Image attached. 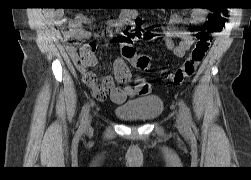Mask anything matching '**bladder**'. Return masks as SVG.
<instances>
[{
	"label": "bladder",
	"mask_w": 251,
	"mask_h": 180,
	"mask_svg": "<svg viewBox=\"0 0 251 180\" xmlns=\"http://www.w3.org/2000/svg\"><path fill=\"white\" fill-rule=\"evenodd\" d=\"M164 109L161 97L151 95L115 107V115L126 122L144 123L156 119Z\"/></svg>",
	"instance_id": "31cf9c89"
}]
</instances>
